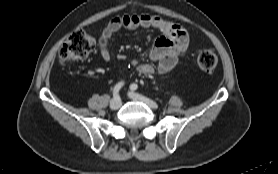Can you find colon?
<instances>
[{
  "instance_id": "obj_1",
  "label": "colon",
  "mask_w": 278,
  "mask_h": 174,
  "mask_svg": "<svg viewBox=\"0 0 278 174\" xmlns=\"http://www.w3.org/2000/svg\"><path fill=\"white\" fill-rule=\"evenodd\" d=\"M97 42L93 35L85 30L79 29L72 32L66 39L59 51L60 62H68L83 59L89 56L96 48ZM218 58L211 49L201 50L197 57L199 68L210 72L217 66Z\"/></svg>"
}]
</instances>
